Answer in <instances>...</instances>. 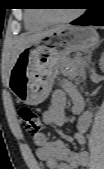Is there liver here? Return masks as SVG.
Listing matches in <instances>:
<instances>
[{
	"mask_svg": "<svg viewBox=\"0 0 104 169\" xmlns=\"http://www.w3.org/2000/svg\"><path fill=\"white\" fill-rule=\"evenodd\" d=\"M64 27H66V26H58L56 28L48 29L45 31H40V32L32 33V34L20 35L15 41L14 49L12 52V64L14 65L18 55L20 54V52L23 49H25L26 47H28L29 45H31L33 43L38 42L43 37L55 32V31H58Z\"/></svg>",
	"mask_w": 104,
	"mask_h": 169,
	"instance_id": "liver-1",
	"label": "liver"
}]
</instances>
